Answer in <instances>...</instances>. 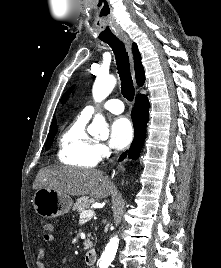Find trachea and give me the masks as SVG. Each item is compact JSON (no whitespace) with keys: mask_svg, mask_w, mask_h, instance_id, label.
<instances>
[{"mask_svg":"<svg viewBox=\"0 0 221 268\" xmlns=\"http://www.w3.org/2000/svg\"><path fill=\"white\" fill-rule=\"evenodd\" d=\"M103 41L107 43L114 52L118 74L121 80V92L128 101H132L134 99L135 89L130 72L129 56L125 45L117 37Z\"/></svg>","mask_w":221,"mask_h":268,"instance_id":"3493384b","label":"trachea"}]
</instances>
